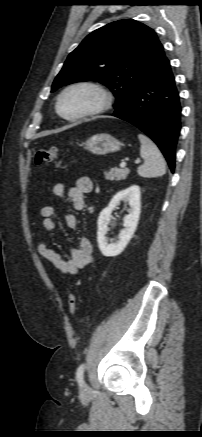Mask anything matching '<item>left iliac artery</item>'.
<instances>
[{"label": "left iliac artery", "instance_id": "left-iliac-artery-1", "mask_svg": "<svg viewBox=\"0 0 202 437\" xmlns=\"http://www.w3.org/2000/svg\"><path fill=\"white\" fill-rule=\"evenodd\" d=\"M83 375H84V364H81L76 371V379L80 386H82L84 383Z\"/></svg>", "mask_w": 202, "mask_h": 437}]
</instances>
